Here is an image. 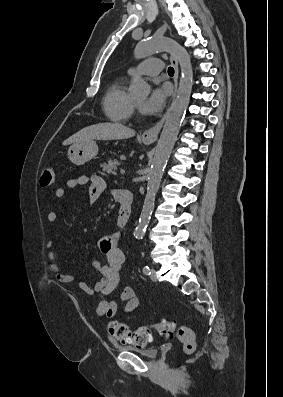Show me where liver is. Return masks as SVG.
Returning a JSON list of instances; mask_svg holds the SVG:
<instances>
[{"label":"liver","instance_id":"liver-1","mask_svg":"<svg viewBox=\"0 0 283 397\" xmlns=\"http://www.w3.org/2000/svg\"><path fill=\"white\" fill-rule=\"evenodd\" d=\"M135 135V130L124 126L120 123H98L83 128L77 133L70 136L62 144L70 145L87 140H121L131 138Z\"/></svg>","mask_w":283,"mask_h":397}]
</instances>
